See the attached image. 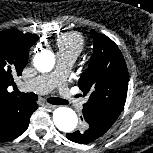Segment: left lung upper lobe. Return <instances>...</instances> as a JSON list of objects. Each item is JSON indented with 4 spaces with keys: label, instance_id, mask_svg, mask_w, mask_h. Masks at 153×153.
<instances>
[{
    "label": "left lung upper lobe",
    "instance_id": "left-lung-upper-lobe-1",
    "mask_svg": "<svg viewBox=\"0 0 153 153\" xmlns=\"http://www.w3.org/2000/svg\"><path fill=\"white\" fill-rule=\"evenodd\" d=\"M94 54L78 81L84 96L83 117L90 131L103 135L123 110L128 89V70L118 46L104 34L90 31Z\"/></svg>",
    "mask_w": 153,
    "mask_h": 153
}]
</instances>
